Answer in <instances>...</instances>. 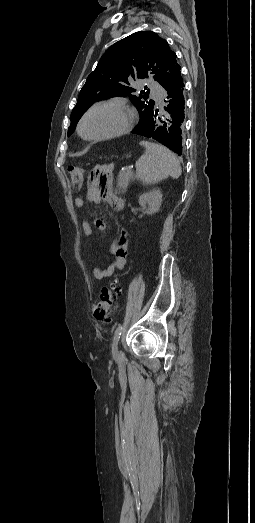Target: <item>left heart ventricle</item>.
I'll list each match as a JSON object with an SVG mask.
<instances>
[{
	"label": "left heart ventricle",
	"mask_w": 255,
	"mask_h": 523,
	"mask_svg": "<svg viewBox=\"0 0 255 523\" xmlns=\"http://www.w3.org/2000/svg\"><path fill=\"white\" fill-rule=\"evenodd\" d=\"M129 120L126 110L101 107L91 111L84 120L82 132L86 137H100L118 132Z\"/></svg>",
	"instance_id": "b2bd125f"
}]
</instances>
